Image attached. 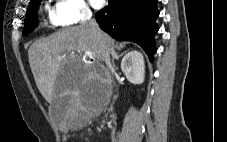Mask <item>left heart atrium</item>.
Segmentation results:
<instances>
[{
    "label": "left heart atrium",
    "instance_id": "obj_1",
    "mask_svg": "<svg viewBox=\"0 0 227 142\" xmlns=\"http://www.w3.org/2000/svg\"><path fill=\"white\" fill-rule=\"evenodd\" d=\"M91 5L96 8L100 9L105 5V0H89Z\"/></svg>",
    "mask_w": 227,
    "mask_h": 142
}]
</instances>
